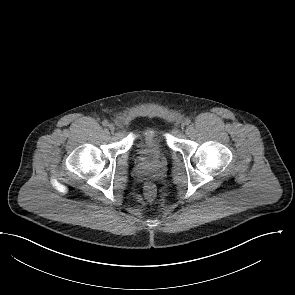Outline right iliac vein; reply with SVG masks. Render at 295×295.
<instances>
[{"instance_id": "63e3f726", "label": "right iliac vein", "mask_w": 295, "mask_h": 295, "mask_svg": "<svg viewBox=\"0 0 295 295\" xmlns=\"http://www.w3.org/2000/svg\"><path fill=\"white\" fill-rule=\"evenodd\" d=\"M108 128H109V130L112 131V132L115 130V126H114L112 123L109 124Z\"/></svg>"}]
</instances>
